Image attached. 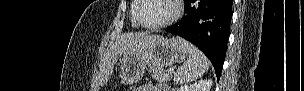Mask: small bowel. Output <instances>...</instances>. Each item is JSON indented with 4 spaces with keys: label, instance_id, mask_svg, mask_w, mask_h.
Segmentation results:
<instances>
[{
    "label": "small bowel",
    "instance_id": "small-bowel-1",
    "mask_svg": "<svg viewBox=\"0 0 304 91\" xmlns=\"http://www.w3.org/2000/svg\"><path fill=\"white\" fill-rule=\"evenodd\" d=\"M137 91H168V88L162 83H147L139 87Z\"/></svg>",
    "mask_w": 304,
    "mask_h": 91
}]
</instances>
